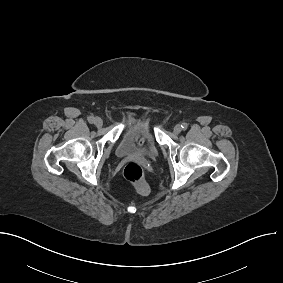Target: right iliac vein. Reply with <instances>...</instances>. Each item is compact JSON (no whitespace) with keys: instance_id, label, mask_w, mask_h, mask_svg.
Returning <instances> with one entry per match:
<instances>
[{"instance_id":"1","label":"right iliac vein","mask_w":283,"mask_h":283,"mask_svg":"<svg viewBox=\"0 0 283 283\" xmlns=\"http://www.w3.org/2000/svg\"><path fill=\"white\" fill-rule=\"evenodd\" d=\"M94 124L96 127H101L103 125V120L100 117L94 119Z\"/></svg>"}]
</instances>
